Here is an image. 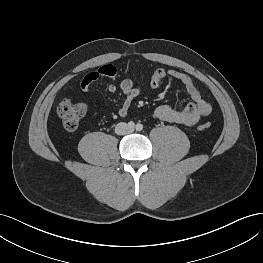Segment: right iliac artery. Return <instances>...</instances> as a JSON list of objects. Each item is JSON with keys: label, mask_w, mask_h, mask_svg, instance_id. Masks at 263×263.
Listing matches in <instances>:
<instances>
[{"label": "right iliac artery", "mask_w": 263, "mask_h": 263, "mask_svg": "<svg viewBox=\"0 0 263 263\" xmlns=\"http://www.w3.org/2000/svg\"><path fill=\"white\" fill-rule=\"evenodd\" d=\"M128 127H129L130 129H133V128L135 127V123H134L133 121H130V122L128 123Z\"/></svg>", "instance_id": "obj_1"}]
</instances>
